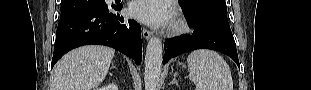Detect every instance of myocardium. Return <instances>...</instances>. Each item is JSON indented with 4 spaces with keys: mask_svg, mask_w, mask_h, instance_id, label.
Here are the masks:
<instances>
[{
    "mask_svg": "<svg viewBox=\"0 0 311 90\" xmlns=\"http://www.w3.org/2000/svg\"><path fill=\"white\" fill-rule=\"evenodd\" d=\"M188 31V25L181 16H176L171 26V32L173 34H183Z\"/></svg>",
    "mask_w": 311,
    "mask_h": 90,
    "instance_id": "myocardium-1",
    "label": "myocardium"
}]
</instances>
